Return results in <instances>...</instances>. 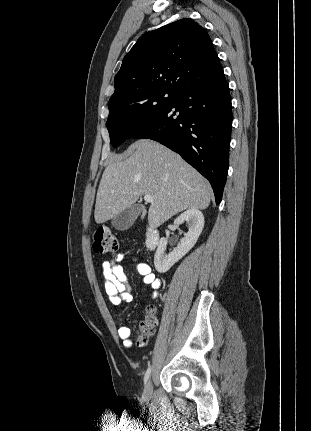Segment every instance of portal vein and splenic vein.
Instances as JSON below:
<instances>
[{
    "mask_svg": "<svg viewBox=\"0 0 311 431\" xmlns=\"http://www.w3.org/2000/svg\"><path fill=\"white\" fill-rule=\"evenodd\" d=\"M143 200L147 202V204H152V202H154L152 196H144Z\"/></svg>",
    "mask_w": 311,
    "mask_h": 431,
    "instance_id": "1",
    "label": "portal vein and splenic vein"
}]
</instances>
